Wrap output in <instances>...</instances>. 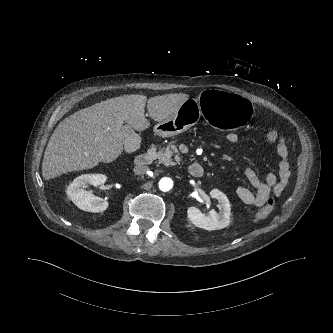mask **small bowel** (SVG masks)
Listing matches in <instances>:
<instances>
[{
  "label": "small bowel",
  "instance_id": "small-bowel-1",
  "mask_svg": "<svg viewBox=\"0 0 333 333\" xmlns=\"http://www.w3.org/2000/svg\"><path fill=\"white\" fill-rule=\"evenodd\" d=\"M226 140L229 144H236L238 142V135L235 132H229L226 135ZM275 142H277L276 150L279 156L278 174L269 173L262 180L250 166H246L244 169L245 178L253 190L248 187H239L237 189V196L247 205L260 207L269 196H279L287 187L290 178L288 146L283 137L278 138Z\"/></svg>",
  "mask_w": 333,
  "mask_h": 333
}]
</instances>
